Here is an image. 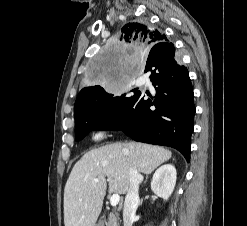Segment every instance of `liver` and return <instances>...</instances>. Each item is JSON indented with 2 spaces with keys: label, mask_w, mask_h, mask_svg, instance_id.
Segmentation results:
<instances>
[{
  "label": "liver",
  "mask_w": 247,
  "mask_h": 226,
  "mask_svg": "<svg viewBox=\"0 0 247 226\" xmlns=\"http://www.w3.org/2000/svg\"><path fill=\"white\" fill-rule=\"evenodd\" d=\"M171 155L163 147L136 142H116L85 153L74 165L65 185V226H95L107 182L109 193L125 194L130 185L131 167L150 174ZM95 179L99 181L95 183Z\"/></svg>",
  "instance_id": "liver-1"
}]
</instances>
